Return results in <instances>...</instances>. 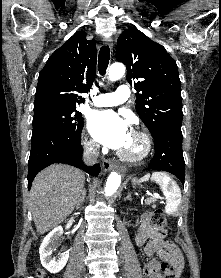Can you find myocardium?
Masks as SVG:
<instances>
[{
	"instance_id": "1",
	"label": "myocardium",
	"mask_w": 221,
	"mask_h": 278,
	"mask_svg": "<svg viewBox=\"0 0 221 278\" xmlns=\"http://www.w3.org/2000/svg\"><path fill=\"white\" fill-rule=\"evenodd\" d=\"M131 135H134L141 140L142 148H141L140 152L135 155H130V154H127L124 151L120 150L117 152V155L122 160L127 161V162H131V163L141 162L144 159H146L151 152V149H152L151 138L146 132H144L142 130H133L131 132Z\"/></svg>"
}]
</instances>
